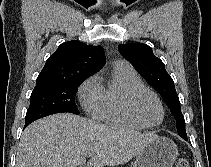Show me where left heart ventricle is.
Masks as SVG:
<instances>
[{"instance_id": "b2bd125f", "label": "left heart ventricle", "mask_w": 211, "mask_h": 167, "mask_svg": "<svg viewBox=\"0 0 211 167\" xmlns=\"http://www.w3.org/2000/svg\"><path fill=\"white\" fill-rule=\"evenodd\" d=\"M137 116L148 125H155L161 119V110L155 98L149 93H141L134 100Z\"/></svg>"}]
</instances>
